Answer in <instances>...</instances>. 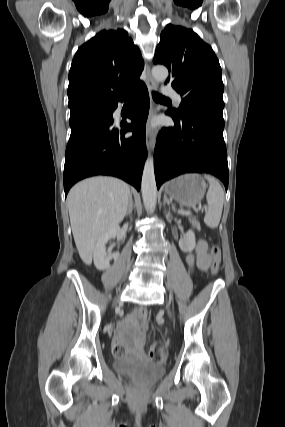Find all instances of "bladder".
Masks as SVG:
<instances>
[{"mask_svg":"<svg viewBox=\"0 0 285 427\" xmlns=\"http://www.w3.org/2000/svg\"><path fill=\"white\" fill-rule=\"evenodd\" d=\"M115 369L126 378H140L146 383H153L164 374L162 367L142 362L119 363Z\"/></svg>","mask_w":285,"mask_h":427,"instance_id":"1","label":"bladder"}]
</instances>
